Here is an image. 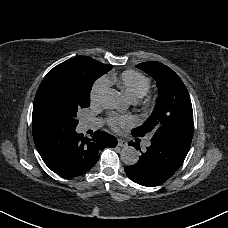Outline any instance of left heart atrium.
<instances>
[{
  "instance_id": "1",
  "label": "left heart atrium",
  "mask_w": 228,
  "mask_h": 228,
  "mask_svg": "<svg viewBox=\"0 0 228 228\" xmlns=\"http://www.w3.org/2000/svg\"><path fill=\"white\" fill-rule=\"evenodd\" d=\"M109 124L114 131H117L119 128L127 126L128 120L122 116L113 115L109 118Z\"/></svg>"
}]
</instances>
